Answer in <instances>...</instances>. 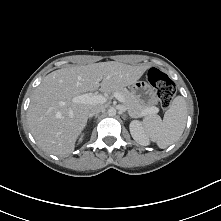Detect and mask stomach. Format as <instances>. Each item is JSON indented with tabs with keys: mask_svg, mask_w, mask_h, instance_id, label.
<instances>
[{
	"mask_svg": "<svg viewBox=\"0 0 221 221\" xmlns=\"http://www.w3.org/2000/svg\"><path fill=\"white\" fill-rule=\"evenodd\" d=\"M131 93L141 102V104L150 106L154 102L152 100L153 90L145 81H136L130 86Z\"/></svg>",
	"mask_w": 221,
	"mask_h": 221,
	"instance_id": "1",
	"label": "stomach"
}]
</instances>
